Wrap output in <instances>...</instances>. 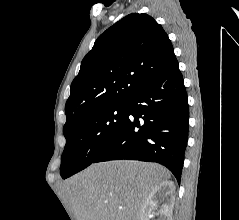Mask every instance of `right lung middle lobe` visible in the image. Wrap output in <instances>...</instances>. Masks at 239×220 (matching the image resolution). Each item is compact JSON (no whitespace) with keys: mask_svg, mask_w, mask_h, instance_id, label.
Instances as JSON below:
<instances>
[{"mask_svg":"<svg viewBox=\"0 0 239 220\" xmlns=\"http://www.w3.org/2000/svg\"><path fill=\"white\" fill-rule=\"evenodd\" d=\"M126 104L120 103L92 111L63 129L66 145L60 174L63 179L94 162L126 120Z\"/></svg>","mask_w":239,"mask_h":220,"instance_id":"dd1d6c3e","label":"right lung middle lobe"}]
</instances>
